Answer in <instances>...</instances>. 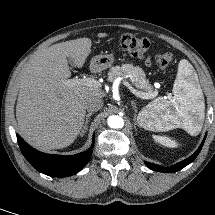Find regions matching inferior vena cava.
<instances>
[{
	"mask_svg": "<svg viewBox=\"0 0 215 215\" xmlns=\"http://www.w3.org/2000/svg\"><path fill=\"white\" fill-rule=\"evenodd\" d=\"M84 105L88 111H98L103 107V100L96 96L88 97Z\"/></svg>",
	"mask_w": 215,
	"mask_h": 215,
	"instance_id": "inferior-vena-cava-1",
	"label": "inferior vena cava"
}]
</instances>
